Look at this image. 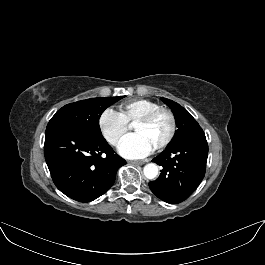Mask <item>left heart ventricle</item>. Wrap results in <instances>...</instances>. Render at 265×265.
<instances>
[{
	"mask_svg": "<svg viewBox=\"0 0 265 265\" xmlns=\"http://www.w3.org/2000/svg\"><path fill=\"white\" fill-rule=\"evenodd\" d=\"M170 127L169 118L159 114L147 124L133 125V131L143 136L151 147H157L166 137Z\"/></svg>",
	"mask_w": 265,
	"mask_h": 265,
	"instance_id": "1",
	"label": "left heart ventricle"
}]
</instances>
